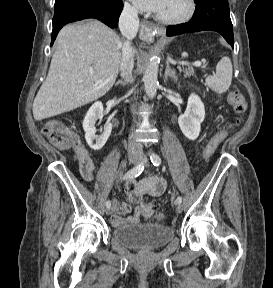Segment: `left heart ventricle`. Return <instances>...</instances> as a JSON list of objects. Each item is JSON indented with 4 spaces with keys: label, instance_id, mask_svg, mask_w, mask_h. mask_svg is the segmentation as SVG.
Here are the masks:
<instances>
[{
    "label": "left heart ventricle",
    "instance_id": "b2bd125f",
    "mask_svg": "<svg viewBox=\"0 0 273 288\" xmlns=\"http://www.w3.org/2000/svg\"><path fill=\"white\" fill-rule=\"evenodd\" d=\"M187 9V0H166L158 14L164 17L173 18L184 14Z\"/></svg>",
    "mask_w": 273,
    "mask_h": 288
}]
</instances>
